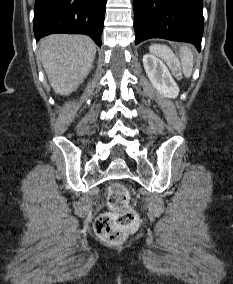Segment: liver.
<instances>
[{
    "label": "liver",
    "instance_id": "1",
    "mask_svg": "<svg viewBox=\"0 0 233 284\" xmlns=\"http://www.w3.org/2000/svg\"><path fill=\"white\" fill-rule=\"evenodd\" d=\"M96 44L84 35L54 34L39 42L38 55L48 80L59 95H69L89 74Z\"/></svg>",
    "mask_w": 233,
    "mask_h": 284
}]
</instances>
